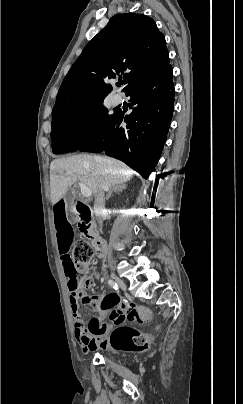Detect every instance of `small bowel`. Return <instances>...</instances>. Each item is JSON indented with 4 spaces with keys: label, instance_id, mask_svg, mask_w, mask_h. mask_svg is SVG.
I'll use <instances>...</instances> for the list:
<instances>
[{
    "label": "small bowel",
    "instance_id": "c3829d8e",
    "mask_svg": "<svg viewBox=\"0 0 243 404\" xmlns=\"http://www.w3.org/2000/svg\"><path fill=\"white\" fill-rule=\"evenodd\" d=\"M53 218L61 263L67 277L70 292L69 299L74 320L75 337L80 343L83 353L93 352L99 348L104 349L108 345V334L112 327L111 322L115 325H122L126 321L143 323V315L130 303L120 306V297L115 293L88 296L80 286L75 285L76 277L70 254L73 227L63 200H59L54 204ZM79 302L91 304L98 313L97 317L91 319L87 328L84 327L78 312ZM107 313L111 322H102V317Z\"/></svg>",
    "mask_w": 243,
    "mask_h": 404
}]
</instances>
